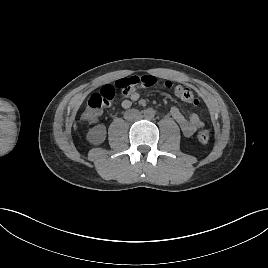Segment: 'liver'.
<instances>
[{"instance_id":"6515ba94","label":"liver","mask_w":268,"mask_h":268,"mask_svg":"<svg viewBox=\"0 0 268 268\" xmlns=\"http://www.w3.org/2000/svg\"><path fill=\"white\" fill-rule=\"evenodd\" d=\"M74 128L76 129V124L74 125Z\"/></svg>"}]
</instances>
